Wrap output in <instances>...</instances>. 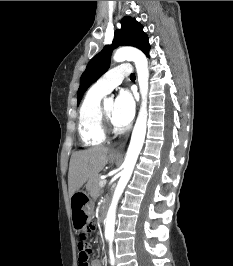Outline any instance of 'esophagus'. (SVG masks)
<instances>
[{
    "label": "esophagus",
    "instance_id": "1",
    "mask_svg": "<svg viewBox=\"0 0 233 266\" xmlns=\"http://www.w3.org/2000/svg\"><path fill=\"white\" fill-rule=\"evenodd\" d=\"M128 138H129V134L126 136L125 140L117 148H115L111 151V153L112 154H120L123 151L124 147L126 146Z\"/></svg>",
    "mask_w": 233,
    "mask_h": 266
}]
</instances>
